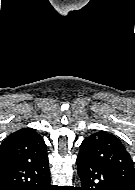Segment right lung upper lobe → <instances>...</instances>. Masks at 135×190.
<instances>
[{"mask_svg": "<svg viewBox=\"0 0 135 190\" xmlns=\"http://www.w3.org/2000/svg\"><path fill=\"white\" fill-rule=\"evenodd\" d=\"M45 158L46 144L32 128L12 133L0 146V166L17 162H36Z\"/></svg>", "mask_w": 135, "mask_h": 190, "instance_id": "right-lung-upper-lobe-1", "label": "right lung upper lobe"}]
</instances>
